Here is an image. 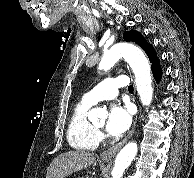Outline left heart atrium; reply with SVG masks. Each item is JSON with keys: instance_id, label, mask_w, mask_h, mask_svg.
Returning a JSON list of instances; mask_svg holds the SVG:
<instances>
[{"instance_id": "obj_1", "label": "left heart atrium", "mask_w": 194, "mask_h": 178, "mask_svg": "<svg viewBox=\"0 0 194 178\" xmlns=\"http://www.w3.org/2000/svg\"><path fill=\"white\" fill-rule=\"evenodd\" d=\"M132 123V112L128 106L115 104L111 107L106 122V130L111 135H120L126 132Z\"/></svg>"}]
</instances>
